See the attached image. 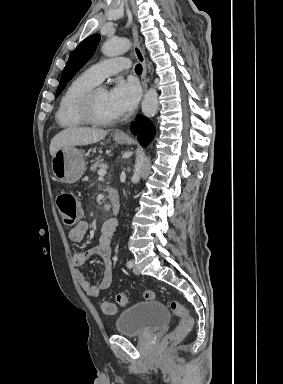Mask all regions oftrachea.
I'll return each mask as SVG.
<instances>
[{
  "instance_id": "obj_1",
  "label": "trachea",
  "mask_w": 283,
  "mask_h": 384,
  "mask_svg": "<svg viewBox=\"0 0 283 384\" xmlns=\"http://www.w3.org/2000/svg\"><path fill=\"white\" fill-rule=\"evenodd\" d=\"M135 72H136L137 75H141V73H142V65L140 63H138V65H136Z\"/></svg>"
}]
</instances>
